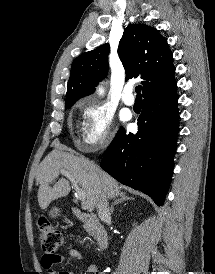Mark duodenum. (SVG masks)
<instances>
[{"label": "duodenum", "instance_id": "obj_1", "mask_svg": "<svg viewBox=\"0 0 215 274\" xmlns=\"http://www.w3.org/2000/svg\"><path fill=\"white\" fill-rule=\"evenodd\" d=\"M72 210L74 215L81 222L87 224L91 228L98 248L104 250L108 245V236L98 218L94 214L83 212L76 207H73Z\"/></svg>", "mask_w": 215, "mask_h": 274}]
</instances>
